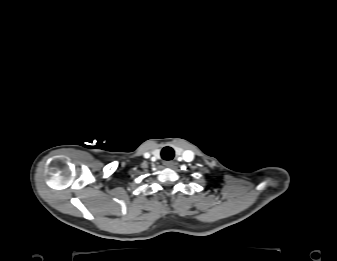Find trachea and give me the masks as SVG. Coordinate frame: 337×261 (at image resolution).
Masks as SVG:
<instances>
[{
	"label": "trachea",
	"instance_id": "obj_1",
	"mask_svg": "<svg viewBox=\"0 0 337 261\" xmlns=\"http://www.w3.org/2000/svg\"><path fill=\"white\" fill-rule=\"evenodd\" d=\"M161 157L164 160H172L174 158V150L171 147H164L161 151Z\"/></svg>",
	"mask_w": 337,
	"mask_h": 261
}]
</instances>
